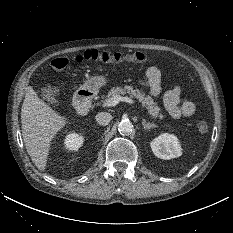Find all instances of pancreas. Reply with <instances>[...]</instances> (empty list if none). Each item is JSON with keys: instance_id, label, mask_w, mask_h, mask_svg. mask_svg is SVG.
<instances>
[{"instance_id": "cf45deb5", "label": "pancreas", "mask_w": 233, "mask_h": 233, "mask_svg": "<svg viewBox=\"0 0 233 233\" xmlns=\"http://www.w3.org/2000/svg\"><path fill=\"white\" fill-rule=\"evenodd\" d=\"M129 94L131 97L136 98L142 105L148 110L151 116L153 118H160L162 119L164 116L160 113V107H158L157 103L152 99L151 96L146 95L144 91L139 90V89H134L132 86H117L113 87L109 92H108V98L106 100L113 98L115 96H121L125 94ZM104 98V96H102Z\"/></svg>"}]
</instances>
